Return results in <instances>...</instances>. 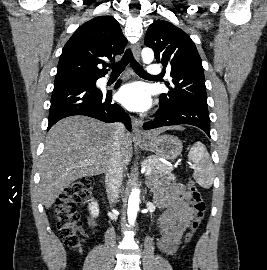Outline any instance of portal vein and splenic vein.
<instances>
[{
    "instance_id": "18ae733b",
    "label": "portal vein and splenic vein",
    "mask_w": 267,
    "mask_h": 270,
    "mask_svg": "<svg viewBox=\"0 0 267 270\" xmlns=\"http://www.w3.org/2000/svg\"><path fill=\"white\" fill-rule=\"evenodd\" d=\"M141 172L142 173H145V175H149L150 174V170L146 169V167H143L142 170H141Z\"/></svg>"
}]
</instances>
